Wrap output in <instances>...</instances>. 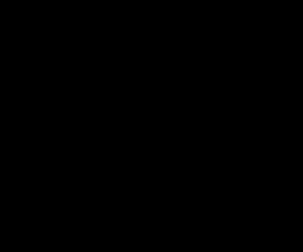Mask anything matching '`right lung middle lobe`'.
Returning <instances> with one entry per match:
<instances>
[{
    "mask_svg": "<svg viewBox=\"0 0 303 252\" xmlns=\"http://www.w3.org/2000/svg\"><path fill=\"white\" fill-rule=\"evenodd\" d=\"M105 105L109 106L110 104L107 102L105 103ZM104 118H105L104 114L103 115L97 114L95 112V109H92L91 107H86L82 120L87 125L100 127L104 122Z\"/></svg>",
    "mask_w": 303,
    "mask_h": 252,
    "instance_id": "1",
    "label": "right lung middle lobe"
}]
</instances>
